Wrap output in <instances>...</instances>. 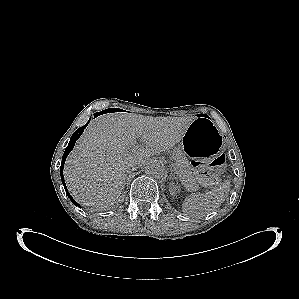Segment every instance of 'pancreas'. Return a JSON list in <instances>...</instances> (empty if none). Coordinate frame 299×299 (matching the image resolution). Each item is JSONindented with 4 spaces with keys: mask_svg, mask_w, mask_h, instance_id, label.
I'll list each match as a JSON object with an SVG mask.
<instances>
[{
    "mask_svg": "<svg viewBox=\"0 0 299 299\" xmlns=\"http://www.w3.org/2000/svg\"><path fill=\"white\" fill-rule=\"evenodd\" d=\"M175 166L174 169L178 173L180 179L188 190L198 189L197 180L192 172L189 160L181 150H175Z\"/></svg>",
    "mask_w": 299,
    "mask_h": 299,
    "instance_id": "pancreas-1",
    "label": "pancreas"
}]
</instances>
